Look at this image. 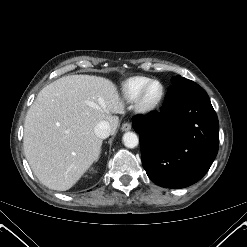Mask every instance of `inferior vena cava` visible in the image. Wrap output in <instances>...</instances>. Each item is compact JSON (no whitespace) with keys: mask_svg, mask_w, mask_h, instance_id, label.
<instances>
[{"mask_svg":"<svg viewBox=\"0 0 247 247\" xmlns=\"http://www.w3.org/2000/svg\"><path fill=\"white\" fill-rule=\"evenodd\" d=\"M111 127L110 124L103 120L97 123V125L94 128L95 135L100 139H105L110 135Z\"/></svg>","mask_w":247,"mask_h":247,"instance_id":"1","label":"inferior vena cava"}]
</instances>
